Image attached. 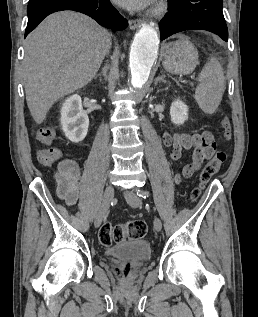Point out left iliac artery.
<instances>
[{
    "label": "left iliac artery",
    "mask_w": 258,
    "mask_h": 317,
    "mask_svg": "<svg viewBox=\"0 0 258 317\" xmlns=\"http://www.w3.org/2000/svg\"><path fill=\"white\" fill-rule=\"evenodd\" d=\"M136 193L140 198H143V199H147L150 197V193L148 190L137 189Z\"/></svg>",
    "instance_id": "obj_1"
}]
</instances>
